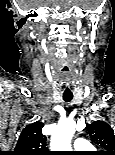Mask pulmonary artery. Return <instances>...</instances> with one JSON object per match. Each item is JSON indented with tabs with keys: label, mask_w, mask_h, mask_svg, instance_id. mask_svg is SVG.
<instances>
[{
	"label": "pulmonary artery",
	"mask_w": 115,
	"mask_h": 155,
	"mask_svg": "<svg viewBox=\"0 0 115 155\" xmlns=\"http://www.w3.org/2000/svg\"><path fill=\"white\" fill-rule=\"evenodd\" d=\"M74 147L76 150H79V151L89 150L92 148L90 142L83 138H77L74 141Z\"/></svg>",
	"instance_id": "e3ab8cb5"
}]
</instances>
